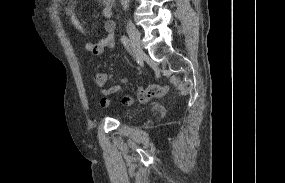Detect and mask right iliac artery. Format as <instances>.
<instances>
[{"instance_id": "obj_1", "label": "right iliac artery", "mask_w": 285, "mask_h": 183, "mask_svg": "<svg viewBox=\"0 0 285 183\" xmlns=\"http://www.w3.org/2000/svg\"><path fill=\"white\" fill-rule=\"evenodd\" d=\"M121 42L123 43V45H124L126 48H129V46H130V40H129L126 36H122V37H121Z\"/></svg>"}]
</instances>
